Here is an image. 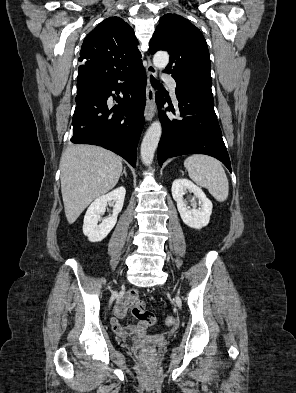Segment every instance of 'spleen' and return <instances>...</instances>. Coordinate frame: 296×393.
<instances>
[{
	"label": "spleen",
	"mask_w": 296,
	"mask_h": 393,
	"mask_svg": "<svg viewBox=\"0 0 296 393\" xmlns=\"http://www.w3.org/2000/svg\"><path fill=\"white\" fill-rule=\"evenodd\" d=\"M189 177L198 185L208 189L219 202H224L229 194L226 173L216 159L206 155H191L184 161Z\"/></svg>",
	"instance_id": "1"
}]
</instances>
